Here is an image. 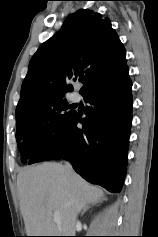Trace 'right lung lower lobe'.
<instances>
[{
    "instance_id": "obj_1",
    "label": "right lung lower lobe",
    "mask_w": 158,
    "mask_h": 237,
    "mask_svg": "<svg viewBox=\"0 0 158 237\" xmlns=\"http://www.w3.org/2000/svg\"><path fill=\"white\" fill-rule=\"evenodd\" d=\"M132 83L125 64L83 94L86 117L75 112L29 161L68 159L87 181L120 191L127 166L132 120ZM82 124V129L77 128Z\"/></svg>"
}]
</instances>
